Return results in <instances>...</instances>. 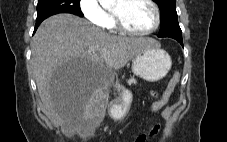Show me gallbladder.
<instances>
[{
    "label": "gallbladder",
    "mask_w": 227,
    "mask_h": 142,
    "mask_svg": "<svg viewBox=\"0 0 227 142\" xmlns=\"http://www.w3.org/2000/svg\"><path fill=\"white\" fill-rule=\"evenodd\" d=\"M106 104L107 97H105V93H96V97L94 98L93 104V109H95V113H104Z\"/></svg>",
    "instance_id": "1"
}]
</instances>
